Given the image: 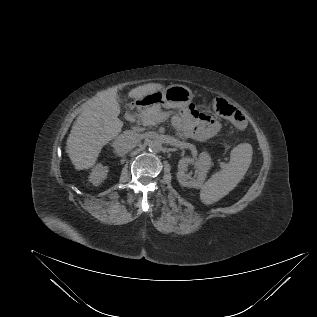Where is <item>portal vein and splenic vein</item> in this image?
Instances as JSON below:
<instances>
[{"instance_id": "18ae733b", "label": "portal vein and splenic vein", "mask_w": 317, "mask_h": 317, "mask_svg": "<svg viewBox=\"0 0 317 317\" xmlns=\"http://www.w3.org/2000/svg\"><path fill=\"white\" fill-rule=\"evenodd\" d=\"M156 122H162V117H161V115H159L157 118H156Z\"/></svg>"}]
</instances>
